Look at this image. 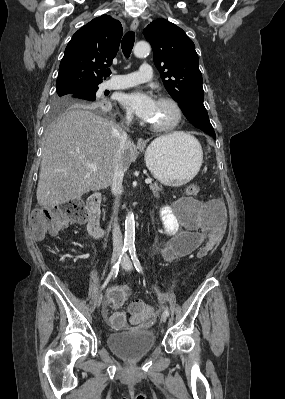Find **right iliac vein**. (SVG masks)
I'll list each match as a JSON object with an SVG mask.
<instances>
[{
    "mask_svg": "<svg viewBox=\"0 0 285 399\" xmlns=\"http://www.w3.org/2000/svg\"><path fill=\"white\" fill-rule=\"evenodd\" d=\"M118 253H114L112 258H111V267L114 265L116 259H117ZM103 301V293H101L100 295H98L95 299V304L97 307H99L101 305Z\"/></svg>",
    "mask_w": 285,
    "mask_h": 399,
    "instance_id": "1",
    "label": "right iliac vein"
}]
</instances>
